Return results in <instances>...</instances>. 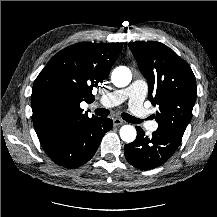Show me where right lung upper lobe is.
I'll return each instance as SVG.
<instances>
[{"label":"right lung upper lobe","instance_id":"cb5924a9","mask_svg":"<svg viewBox=\"0 0 217 217\" xmlns=\"http://www.w3.org/2000/svg\"><path fill=\"white\" fill-rule=\"evenodd\" d=\"M122 46L76 43L49 60L36 78L31 95L33 124L39 139L90 119L80 103L94 101L93 88L108 77Z\"/></svg>","mask_w":217,"mask_h":217}]
</instances>
